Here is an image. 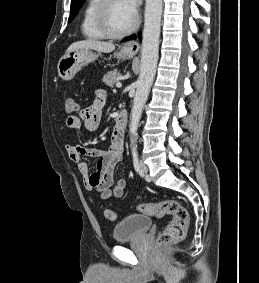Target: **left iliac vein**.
I'll return each instance as SVG.
<instances>
[{"mask_svg":"<svg viewBox=\"0 0 259 283\" xmlns=\"http://www.w3.org/2000/svg\"><path fill=\"white\" fill-rule=\"evenodd\" d=\"M140 168L144 174L148 173V166L143 161L140 162Z\"/></svg>","mask_w":259,"mask_h":283,"instance_id":"left-iliac-vein-1","label":"left iliac vein"}]
</instances>
